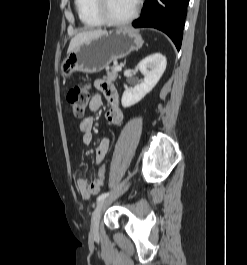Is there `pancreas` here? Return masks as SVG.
<instances>
[{"label":"pancreas","instance_id":"cf45deb5","mask_svg":"<svg viewBox=\"0 0 247 265\" xmlns=\"http://www.w3.org/2000/svg\"><path fill=\"white\" fill-rule=\"evenodd\" d=\"M117 76H118V71L116 70V66H112L110 70L107 69V76H105L104 78L109 81H115Z\"/></svg>","mask_w":247,"mask_h":265}]
</instances>
